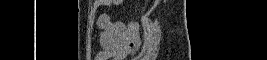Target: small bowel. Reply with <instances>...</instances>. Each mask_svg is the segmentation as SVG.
<instances>
[{
	"label": "small bowel",
	"mask_w": 267,
	"mask_h": 60,
	"mask_svg": "<svg viewBox=\"0 0 267 60\" xmlns=\"http://www.w3.org/2000/svg\"><path fill=\"white\" fill-rule=\"evenodd\" d=\"M118 4L119 1H114ZM101 50L97 60H121L134 54L140 45L139 26L135 22L112 21L102 14L97 21Z\"/></svg>",
	"instance_id": "obj_1"
}]
</instances>
